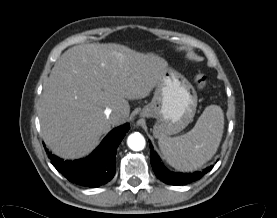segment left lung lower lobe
<instances>
[{
	"label": "left lung lower lobe",
	"mask_w": 277,
	"mask_h": 218,
	"mask_svg": "<svg viewBox=\"0 0 277 218\" xmlns=\"http://www.w3.org/2000/svg\"><path fill=\"white\" fill-rule=\"evenodd\" d=\"M150 148H151L150 160H151V165L154 170V173L160 180H162L166 184L182 185V184H188V183L194 182L200 179L202 176H204L207 172H209L213 168V166H210L203 171H197V172L186 173V174L170 172L168 169H166L163 166L159 157L154 152L153 147L150 146Z\"/></svg>",
	"instance_id": "obj_1"
}]
</instances>
